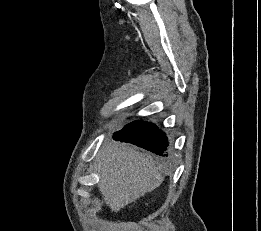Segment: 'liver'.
<instances>
[{"instance_id": "liver-1", "label": "liver", "mask_w": 261, "mask_h": 231, "mask_svg": "<svg viewBox=\"0 0 261 231\" xmlns=\"http://www.w3.org/2000/svg\"><path fill=\"white\" fill-rule=\"evenodd\" d=\"M99 191L113 212H118L163 182L151 157L129 144L107 142L97 156Z\"/></svg>"}]
</instances>
